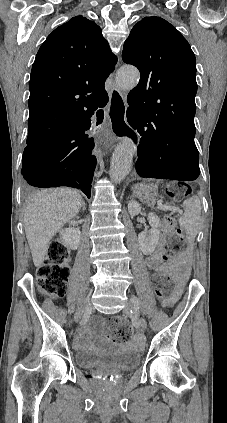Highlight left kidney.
<instances>
[{"label": "left kidney", "mask_w": 227, "mask_h": 423, "mask_svg": "<svg viewBox=\"0 0 227 423\" xmlns=\"http://www.w3.org/2000/svg\"><path fill=\"white\" fill-rule=\"evenodd\" d=\"M128 211L130 215H138V213L141 211L140 204H137V202H133V200H131V202L128 204ZM148 219L151 225V229H149V231H141V233L138 235L139 245L145 255H150V253L154 251L158 243L160 233L158 229L160 225V219L158 215H156V213H148Z\"/></svg>", "instance_id": "1"}]
</instances>
